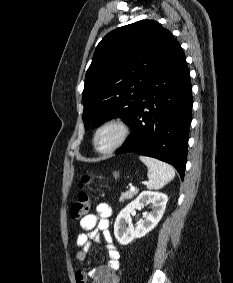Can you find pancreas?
<instances>
[{"instance_id":"1","label":"pancreas","mask_w":233,"mask_h":283,"mask_svg":"<svg viewBox=\"0 0 233 283\" xmlns=\"http://www.w3.org/2000/svg\"><path fill=\"white\" fill-rule=\"evenodd\" d=\"M138 191H126L123 192L120 196V202H124L125 200L132 199L134 195L137 194Z\"/></svg>"}]
</instances>
